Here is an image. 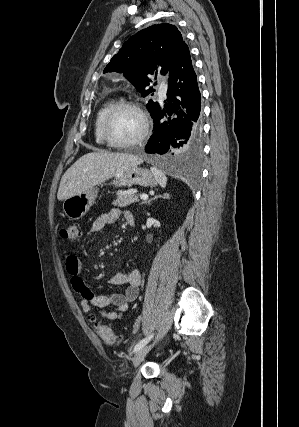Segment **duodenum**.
Returning <instances> with one entry per match:
<instances>
[{"label": "duodenum", "mask_w": 299, "mask_h": 427, "mask_svg": "<svg viewBox=\"0 0 299 427\" xmlns=\"http://www.w3.org/2000/svg\"><path fill=\"white\" fill-rule=\"evenodd\" d=\"M127 222H128V224H129L130 226H134V225H135V219H134V217H133V216H130V217L127 219Z\"/></svg>", "instance_id": "duodenum-1"}]
</instances>
